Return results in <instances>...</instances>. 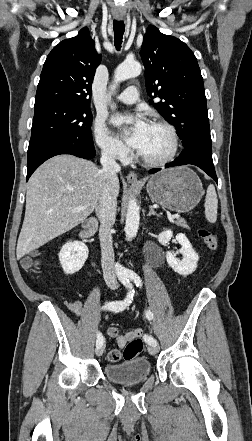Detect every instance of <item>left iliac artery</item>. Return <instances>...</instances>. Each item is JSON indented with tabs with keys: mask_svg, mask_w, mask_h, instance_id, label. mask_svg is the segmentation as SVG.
<instances>
[{
	"mask_svg": "<svg viewBox=\"0 0 252 441\" xmlns=\"http://www.w3.org/2000/svg\"><path fill=\"white\" fill-rule=\"evenodd\" d=\"M129 278L132 281H134V283L136 284L137 287H141L142 286V280L135 272H131L129 274ZM146 318L148 320H152L153 319V313L150 310L146 311ZM141 339L143 341H146L149 345H157V341L153 337L150 336V332L149 331H143Z\"/></svg>",
	"mask_w": 252,
	"mask_h": 441,
	"instance_id": "left-iliac-artery-1",
	"label": "left iliac artery"
}]
</instances>
